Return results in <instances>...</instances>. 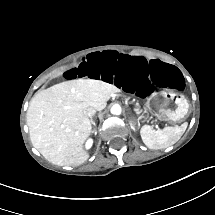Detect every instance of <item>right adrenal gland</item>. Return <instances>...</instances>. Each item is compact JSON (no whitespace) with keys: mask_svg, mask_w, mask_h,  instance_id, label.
<instances>
[{"mask_svg":"<svg viewBox=\"0 0 215 215\" xmlns=\"http://www.w3.org/2000/svg\"><path fill=\"white\" fill-rule=\"evenodd\" d=\"M90 123L95 124V122L92 121V118L90 119ZM92 133H93V131H92ZM95 134H97V131H95Z\"/></svg>","mask_w":215,"mask_h":215,"instance_id":"1","label":"right adrenal gland"}]
</instances>
